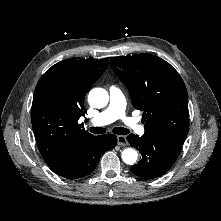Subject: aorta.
<instances>
[{
    "label": "aorta",
    "instance_id": "1",
    "mask_svg": "<svg viewBox=\"0 0 221 221\" xmlns=\"http://www.w3.org/2000/svg\"><path fill=\"white\" fill-rule=\"evenodd\" d=\"M109 95L103 88H94L89 92L88 102L91 106L96 108H103L108 104ZM138 153L133 148H126L122 152V160L129 165L136 162Z\"/></svg>",
    "mask_w": 221,
    "mask_h": 221
}]
</instances>
